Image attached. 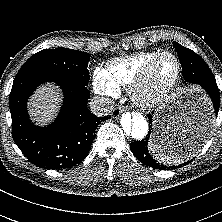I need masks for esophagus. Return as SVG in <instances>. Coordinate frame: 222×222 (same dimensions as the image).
I'll list each match as a JSON object with an SVG mask.
<instances>
[{
	"label": "esophagus",
	"mask_w": 222,
	"mask_h": 222,
	"mask_svg": "<svg viewBox=\"0 0 222 222\" xmlns=\"http://www.w3.org/2000/svg\"><path fill=\"white\" fill-rule=\"evenodd\" d=\"M122 112H124V108L123 107H116L113 109L112 111V116L114 118L118 117Z\"/></svg>",
	"instance_id": "obj_1"
}]
</instances>
